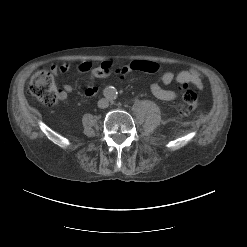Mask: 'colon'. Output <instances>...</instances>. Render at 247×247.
I'll return each mask as SVG.
<instances>
[{"mask_svg": "<svg viewBox=\"0 0 247 247\" xmlns=\"http://www.w3.org/2000/svg\"><path fill=\"white\" fill-rule=\"evenodd\" d=\"M112 71V66L108 62H103L100 66L90 71L92 81L108 76ZM28 90L31 95L36 97L42 103L53 106L59 98V91L54 82L51 72L39 70L30 79ZM198 107L197 92L187 86H183L181 98L177 104V109L182 115L193 113Z\"/></svg>", "mask_w": 247, "mask_h": 247, "instance_id": "5ec220e1", "label": "colon"}]
</instances>
